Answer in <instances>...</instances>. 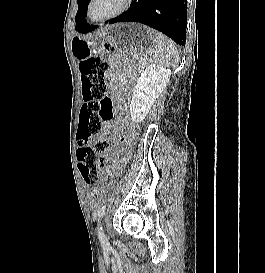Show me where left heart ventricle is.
<instances>
[{"label": "left heart ventricle", "instance_id": "obj_1", "mask_svg": "<svg viewBox=\"0 0 265 273\" xmlns=\"http://www.w3.org/2000/svg\"><path fill=\"white\" fill-rule=\"evenodd\" d=\"M123 3V0H94L91 13L94 18H101L113 13Z\"/></svg>", "mask_w": 265, "mask_h": 273}]
</instances>
